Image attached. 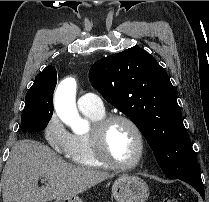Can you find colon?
<instances>
[{
    "instance_id": "colon-1",
    "label": "colon",
    "mask_w": 209,
    "mask_h": 202,
    "mask_svg": "<svg viewBox=\"0 0 209 202\" xmlns=\"http://www.w3.org/2000/svg\"><path fill=\"white\" fill-rule=\"evenodd\" d=\"M161 202H178V201L173 197H167L164 198Z\"/></svg>"
}]
</instances>
